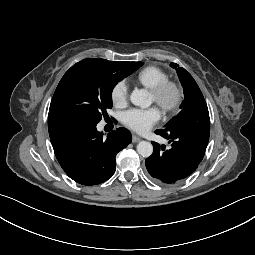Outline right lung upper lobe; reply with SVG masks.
Wrapping results in <instances>:
<instances>
[{
    "label": "right lung upper lobe",
    "mask_w": 255,
    "mask_h": 255,
    "mask_svg": "<svg viewBox=\"0 0 255 255\" xmlns=\"http://www.w3.org/2000/svg\"><path fill=\"white\" fill-rule=\"evenodd\" d=\"M89 63H109V64H114V65H120L121 66V65H126V64L131 63V62L108 61V60H105V59L92 58V59H84L81 62H78L75 65H73L71 68H75V67H78L80 65L89 64Z\"/></svg>",
    "instance_id": "obj_1"
}]
</instances>
